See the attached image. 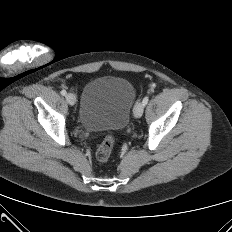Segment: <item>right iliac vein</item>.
I'll return each mask as SVG.
<instances>
[{
  "instance_id": "right-iliac-vein-1",
  "label": "right iliac vein",
  "mask_w": 232,
  "mask_h": 232,
  "mask_svg": "<svg viewBox=\"0 0 232 232\" xmlns=\"http://www.w3.org/2000/svg\"><path fill=\"white\" fill-rule=\"evenodd\" d=\"M66 101L71 106L75 105V103H76V97H75V95L72 94V93H68L66 95Z\"/></svg>"
}]
</instances>
